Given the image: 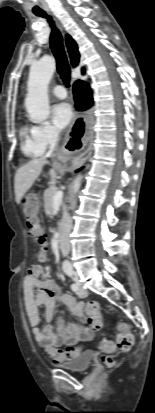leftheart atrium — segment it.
<instances>
[{
  "instance_id": "left-heart-atrium-1",
  "label": "left heart atrium",
  "mask_w": 155,
  "mask_h": 413,
  "mask_svg": "<svg viewBox=\"0 0 155 413\" xmlns=\"http://www.w3.org/2000/svg\"><path fill=\"white\" fill-rule=\"evenodd\" d=\"M53 123L57 129H64L73 118V111L68 103L57 104L53 109Z\"/></svg>"
}]
</instances>
